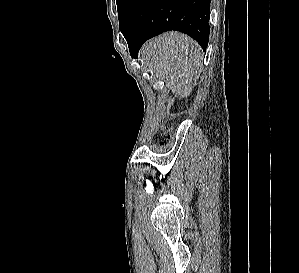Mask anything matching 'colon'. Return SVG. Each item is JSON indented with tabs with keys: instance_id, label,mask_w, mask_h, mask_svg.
<instances>
[{
	"instance_id": "obj_1",
	"label": "colon",
	"mask_w": 299,
	"mask_h": 273,
	"mask_svg": "<svg viewBox=\"0 0 299 273\" xmlns=\"http://www.w3.org/2000/svg\"><path fill=\"white\" fill-rule=\"evenodd\" d=\"M161 137H162V141H161V146H165L168 139L170 138V135H169V129L168 128H164L162 130V134H161Z\"/></svg>"
}]
</instances>
